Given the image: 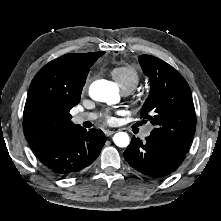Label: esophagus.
Returning <instances> with one entry per match:
<instances>
[{
  "label": "esophagus",
  "mask_w": 221,
  "mask_h": 221,
  "mask_svg": "<svg viewBox=\"0 0 221 221\" xmlns=\"http://www.w3.org/2000/svg\"><path fill=\"white\" fill-rule=\"evenodd\" d=\"M104 133L107 137H109L115 133V130H106Z\"/></svg>",
  "instance_id": "34e87169"
}]
</instances>
